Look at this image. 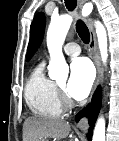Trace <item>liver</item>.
<instances>
[{"instance_id":"6515ba94","label":"liver","mask_w":119,"mask_h":141,"mask_svg":"<svg viewBox=\"0 0 119 141\" xmlns=\"http://www.w3.org/2000/svg\"><path fill=\"white\" fill-rule=\"evenodd\" d=\"M70 125L61 119L29 117L23 124V141L65 138L70 132Z\"/></svg>"}]
</instances>
